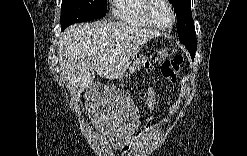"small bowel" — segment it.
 <instances>
[{"label":"small bowel","mask_w":247,"mask_h":156,"mask_svg":"<svg viewBox=\"0 0 247 156\" xmlns=\"http://www.w3.org/2000/svg\"><path fill=\"white\" fill-rule=\"evenodd\" d=\"M144 67H147V65L145 64ZM155 103H156V97L155 94L152 90H150L149 92V97H148V105L150 108H154L155 107Z\"/></svg>","instance_id":"obj_1"}]
</instances>
